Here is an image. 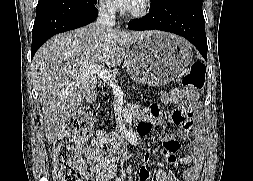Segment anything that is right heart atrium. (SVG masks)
<instances>
[{"mask_svg": "<svg viewBox=\"0 0 253 181\" xmlns=\"http://www.w3.org/2000/svg\"><path fill=\"white\" fill-rule=\"evenodd\" d=\"M99 8L101 12L107 15H113L116 12L114 0H99Z\"/></svg>", "mask_w": 253, "mask_h": 181, "instance_id": "right-heart-atrium-1", "label": "right heart atrium"}]
</instances>
